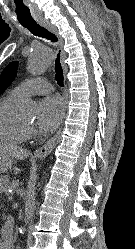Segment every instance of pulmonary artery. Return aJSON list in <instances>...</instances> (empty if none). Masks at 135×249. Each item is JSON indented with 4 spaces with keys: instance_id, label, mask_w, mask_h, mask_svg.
<instances>
[{
    "instance_id": "pulmonary-artery-1",
    "label": "pulmonary artery",
    "mask_w": 135,
    "mask_h": 249,
    "mask_svg": "<svg viewBox=\"0 0 135 249\" xmlns=\"http://www.w3.org/2000/svg\"><path fill=\"white\" fill-rule=\"evenodd\" d=\"M53 90L52 84L42 78L27 80L13 89V93L21 99L40 94H47Z\"/></svg>"
}]
</instances>
